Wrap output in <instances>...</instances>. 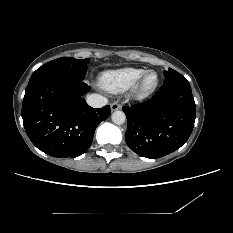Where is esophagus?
Masks as SVG:
<instances>
[{"mask_svg": "<svg viewBox=\"0 0 233 233\" xmlns=\"http://www.w3.org/2000/svg\"><path fill=\"white\" fill-rule=\"evenodd\" d=\"M110 108H111V111H116V110L121 109V105L118 102H113L110 105Z\"/></svg>", "mask_w": 233, "mask_h": 233, "instance_id": "34e87169", "label": "esophagus"}]
</instances>
